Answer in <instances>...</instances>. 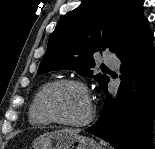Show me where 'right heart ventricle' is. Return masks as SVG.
Masks as SVG:
<instances>
[{"label":"right heart ventricle","mask_w":155,"mask_h":149,"mask_svg":"<svg viewBox=\"0 0 155 149\" xmlns=\"http://www.w3.org/2000/svg\"><path fill=\"white\" fill-rule=\"evenodd\" d=\"M44 86L34 96L28 110L29 122L34 126H47L51 123L39 109V99Z\"/></svg>","instance_id":"1"}]
</instances>
